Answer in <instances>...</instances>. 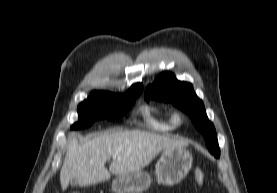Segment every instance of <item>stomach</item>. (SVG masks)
I'll use <instances>...</instances> for the list:
<instances>
[{
	"label": "stomach",
	"mask_w": 277,
	"mask_h": 193,
	"mask_svg": "<svg viewBox=\"0 0 277 193\" xmlns=\"http://www.w3.org/2000/svg\"><path fill=\"white\" fill-rule=\"evenodd\" d=\"M192 166V155L184 147L168 148L155 166V175L159 183L173 186L179 183ZM151 184V177L145 171H138L127 176H117L112 182L115 193H142Z\"/></svg>",
	"instance_id": "1"
}]
</instances>
